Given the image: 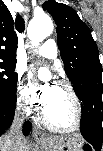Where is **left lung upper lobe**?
I'll return each mask as SVG.
<instances>
[{"label":"left lung upper lobe","mask_w":103,"mask_h":151,"mask_svg":"<svg viewBox=\"0 0 103 151\" xmlns=\"http://www.w3.org/2000/svg\"><path fill=\"white\" fill-rule=\"evenodd\" d=\"M56 25L58 47L65 72L73 84L83 80L89 71H100L99 52L90 29L80 20L76 11L62 3L49 0L43 4Z\"/></svg>","instance_id":"left-lung-upper-lobe-1"}]
</instances>
